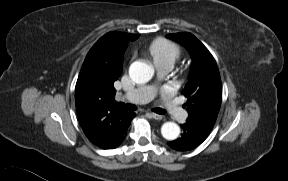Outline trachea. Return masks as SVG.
<instances>
[{
  "mask_svg": "<svg viewBox=\"0 0 288 181\" xmlns=\"http://www.w3.org/2000/svg\"><path fill=\"white\" fill-rule=\"evenodd\" d=\"M116 105L118 107H121V108L128 110V111H134L137 109V107L134 104H130V103L125 104V103L120 102V103H116ZM152 110L157 114H165L166 113V111L164 109H161V108H154Z\"/></svg>",
  "mask_w": 288,
  "mask_h": 181,
  "instance_id": "3493384b",
  "label": "trachea"
}]
</instances>
